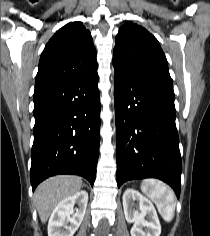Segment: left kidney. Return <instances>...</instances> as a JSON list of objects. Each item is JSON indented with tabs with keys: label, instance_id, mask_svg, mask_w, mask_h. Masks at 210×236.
Masks as SVG:
<instances>
[{
	"label": "left kidney",
	"instance_id": "5707ae66",
	"mask_svg": "<svg viewBox=\"0 0 210 236\" xmlns=\"http://www.w3.org/2000/svg\"><path fill=\"white\" fill-rule=\"evenodd\" d=\"M138 202L139 212L132 208ZM123 209L126 221L134 223L131 236H160L161 225L153 204L138 191L128 188L123 193ZM147 217V220H145Z\"/></svg>",
	"mask_w": 210,
	"mask_h": 236
}]
</instances>
